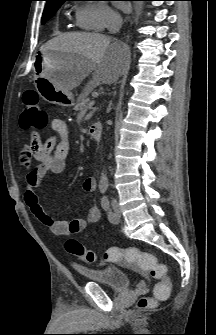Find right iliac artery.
I'll use <instances>...</instances> for the list:
<instances>
[{"label": "right iliac artery", "mask_w": 216, "mask_h": 335, "mask_svg": "<svg viewBox=\"0 0 216 335\" xmlns=\"http://www.w3.org/2000/svg\"><path fill=\"white\" fill-rule=\"evenodd\" d=\"M99 189H100V192H101V193H104V192L106 191V189H107V185H106V184H101V185L99 186Z\"/></svg>", "instance_id": "obj_1"}]
</instances>
